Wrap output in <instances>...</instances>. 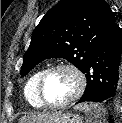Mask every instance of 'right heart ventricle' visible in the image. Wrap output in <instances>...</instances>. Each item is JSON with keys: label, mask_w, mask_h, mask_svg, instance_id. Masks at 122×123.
Here are the masks:
<instances>
[{"label": "right heart ventricle", "mask_w": 122, "mask_h": 123, "mask_svg": "<svg viewBox=\"0 0 122 123\" xmlns=\"http://www.w3.org/2000/svg\"><path fill=\"white\" fill-rule=\"evenodd\" d=\"M45 70L46 68L37 69L29 76V78L25 83V87H24L25 99L31 106L35 108L44 107V105L41 103V101L38 98L37 87H38V82Z\"/></svg>", "instance_id": "obj_1"}]
</instances>
